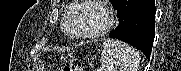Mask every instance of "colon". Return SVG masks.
<instances>
[{"instance_id": "5ec220e1", "label": "colon", "mask_w": 181, "mask_h": 71, "mask_svg": "<svg viewBox=\"0 0 181 71\" xmlns=\"http://www.w3.org/2000/svg\"><path fill=\"white\" fill-rule=\"evenodd\" d=\"M80 69L73 66V65H67L63 67V71H79Z\"/></svg>"}]
</instances>
